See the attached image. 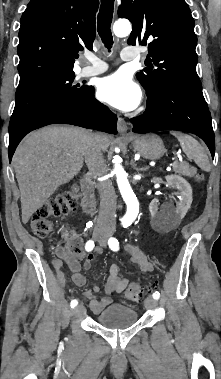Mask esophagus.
<instances>
[{
	"label": "esophagus",
	"instance_id": "34e87169",
	"mask_svg": "<svg viewBox=\"0 0 221 379\" xmlns=\"http://www.w3.org/2000/svg\"><path fill=\"white\" fill-rule=\"evenodd\" d=\"M117 130L121 135H126L128 131L127 122L122 118L118 117L117 120Z\"/></svg>",
	"mask_w": 221,
	"mask_h": 379
}]
</instances>
